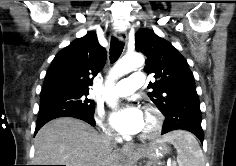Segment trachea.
Returning a JSON list of instances; mask_svg holds the SVG:
<instances>
[{"label":"trachea","instance_id":"trachea-1","mask_svg":"<svg viewBox=\"0 0 236 166\" xmlns=\"http://www.w3.org/2000/svg\"><path fill=\"white\" fill-rule=\"evenodd\" d=\"M124 44L119 42L115 37L111 38L110 44V60L111 63H114L122 54Z\"/></svg>","mask_w":236,"mask_h":166}]
</instances>
